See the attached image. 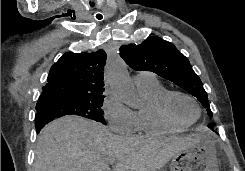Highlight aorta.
Listing matches in <instances>:
<instances>
[{
    "mask_svg": "<svg viewBox=\"0 0 245 171\" xmlns=\"http://www.w3.org/2000/svg\"><path fill=\"white\" fill-rule=\"evenodd\" d=\"M105 80L110 89L128 106L138 108L140 101L127 67L121 60H117L106 68Z\"/></svg>",
    "mask_w": 245,
    "mask_h": 171,
    "instance_id": "1",
    "label": "aorta"
}]
</instances>
